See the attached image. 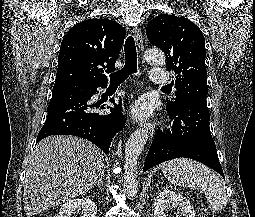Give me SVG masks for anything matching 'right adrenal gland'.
<instances>
[{
  "label": "right adrenal gland",
  "mask_w": 255,
  "mask_h": 217,
  "mask_svg": "<svg viewBox=\"0 0 255 217\" xmlns=\"http://www.w3.org/2000/svg\"><path fill=\"white\" fill-rule=\"evenodd\" d=\"M96 184H100L103 186V176H100L99 180L96 182Z\"/></svg>",
  "instance_id": "right-adrenal-gland-1"
}]
</instances>
